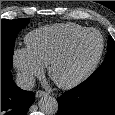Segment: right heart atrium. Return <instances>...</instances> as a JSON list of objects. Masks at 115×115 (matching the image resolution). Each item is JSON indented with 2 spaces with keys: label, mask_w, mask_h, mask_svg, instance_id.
<instances>
[{
  "label": "right heart atrium",
  "mask_w": 115,
  "mask_h": 115,
  "mask_svg": "<svg viewBox=\"0 0 115 115\" xmlns=\"http://www.w3.org/2000/svg\"><path fill=\"white\" fill-rule=\"evenodd\" d=\"M13 64L25 84H30L34 77L40 76L43 72V66L33 58L27 48L14 50Z\"/></svg>",
  "instance_id": "1"
}]
</instances>
